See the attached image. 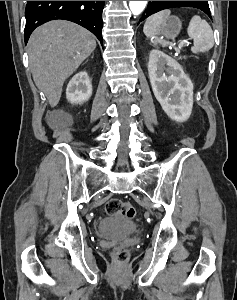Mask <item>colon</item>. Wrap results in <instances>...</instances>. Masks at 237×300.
Here are the masks:
<instances>
[{
	"label": "colon",
	"mask_w": 237,
	"mask_h": 300,
	"mask_svg": "<svg viewBox=\"0 0 237 300\" xmlns=\"http://www.w3.org/2000/svg\"><path fill=\"white\" fill-rule=\"evenodd\" d=\"M105 212L108 215L120 214L126 218L132 219L136 215V208L130 202H124L120 199H110L105 205ZM112 253L116 260L123 263L130 256V247L128 244H121L113 248Z\"/></svg>",
	"instance_id": "colon-1"
}]
</instances>
